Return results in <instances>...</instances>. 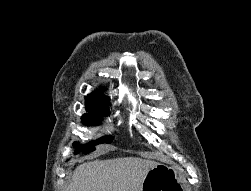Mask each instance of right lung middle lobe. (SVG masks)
Listing matches in <instances>:
<instances>
[{
  "instance_id": "1",
  "label": "right lung middle lobe",
  "mask_w": 251,
  "mask_h": 191,
  "mask_svg": "<svg viewBox=\"0 0 251 191\" xmlns=\"http://www.w3.org/2000/svg\"><path fill=\"white\" fill-rule=\"evenodd\" d=\"M87 111L88 113L82 116V123L85 125H98L100 124L102 117L107 116L109 113L108 107L91 108L87 109ZM112 140V137L105 136L96 141H91L89 144L83 146H77L78 144L75 143L77 146L75 154H78L79 152L87 154L95 150V145L100 143H111Z\"/></svg>"
}]
</instances>
